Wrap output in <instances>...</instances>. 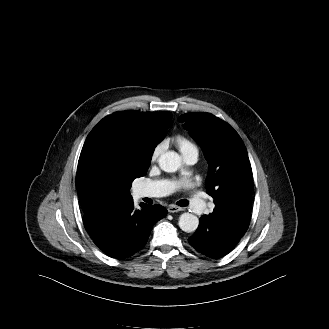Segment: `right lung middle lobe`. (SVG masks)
Returning <instances> with one entry per match:
<instances>
[{"label":"right lung middle lobe","mask_w":329,"mask_h":329,"mask_svg":"<svg viewBox=\"0 0 329 329\" xmlns=\"http://www.w3.org/2000/svg\"><path fill=\"white\" fill-rule=\"evenodd\" d=\"M153 150L143 143L119 144L115 155L110 157L113 168L97 165L85 173L82 180L85 191L100 202L131 198L120 193V186L130 187L135 178L146 174Z\"/></svg>","instance_id":"dd1d6c3e"}]
</instances>
